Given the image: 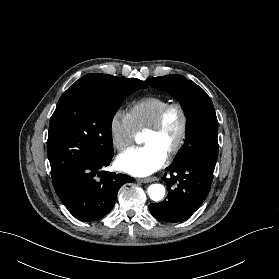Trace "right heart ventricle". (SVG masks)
I'll use <instances>...</instances> for the list:
<instances>
[{
    "instance_id": "obj_1",
    "label": "right heart ventricle",
    "mask_w": 279,
    "mask_h": 279,
    "mask_svg": "<svg viewBox=\"0 0 279 279\" xmlns=\"http://www.w3.org/2000/svg\"><path fill=\"white\" fill-rule=\"evenodd\" d=\"M168 103H170L168 99L159 96L145 97L131 104L127 114L137 131H145Z\"/></svg>"
}]
</instances>
